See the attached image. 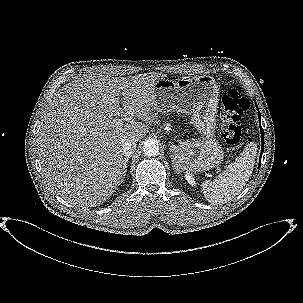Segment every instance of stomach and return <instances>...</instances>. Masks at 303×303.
I'll use <instances>...</instances> for the list:
<instances>
[{
  "instance_id": "stomach-1",
  "label": "stomach",
  "mask_w": 303,
  "mask_h": 303,
  "mask_svg": "<svg viewBox=\"0 0 303 303\" xmlns=\"http://www.w3.org/2000/svg\"><path fill=\"white\" fill-rule=\"evenodd\" d=\"M153 97L163 113L178 111L192 115L191 124L201 138L172 145V161L177 171L205 172L218 166L224 157L214 138L219 89L211 76L160 79L153 87Z\"/></svg>"
}]
</instances>
